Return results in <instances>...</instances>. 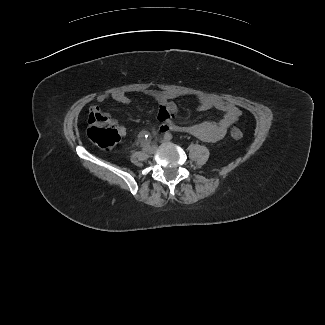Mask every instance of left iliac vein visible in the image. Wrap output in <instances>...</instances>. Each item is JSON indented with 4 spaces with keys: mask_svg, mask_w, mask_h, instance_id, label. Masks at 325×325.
<instances>
[{
    "mask_svg": "<svg viewBox=\"0 0 325 325\" xmlns=\"http://www.w3.org/2000/svg\"><path fill=\"white\" fill-rule=\"evenodd\" d=\"M161 142H162V143H168L169 140H167V139L164 138Z\"/></svg>",
    "mask_w": 325,
    "mask_h": 325,
    "instance_id": "4c4485c4",
    "label": "left iliac vein"
}]
</instances>
